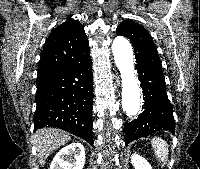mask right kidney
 Returning <instances> with one entry per match:
<instances>
[{
  "mask_svg": "<svg viewBox=\"0 0 200 169\" xmlns=\"http://www.w3.org/2000/svg\"><path fill=\"white\" fill-rule=\"evenodd\" d=\"M85 149L81 143H71L62 148L54 157L50 169H83Z\"/></svg>",
  "mask_w": 200,
  "mask_h": 169,
  "instance_id": "1",
  "label": "right kidney"
}]
</instances>
